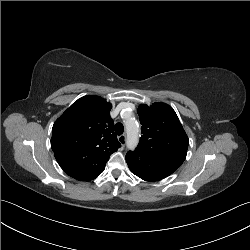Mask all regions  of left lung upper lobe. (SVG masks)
Returning a JSON list of instances; mask_svg holds the SVG:
<instances>
[{
	"mask_svg": "<svg viewBox=\"0 0 250 250\" xmlns=\"http://www.w3.org/2000/svg\"><path fill=\"white\" fill-rule=\"evenodd\" d=\"M142 136L135 151L126 155L127 164L137 157L149 158L153 164L171 173L184 162L189 139L175 113L165 103L141 104L137 110Z\"/></svg>",
	"mask_w": 250,
	"mask_h": 250,
	"instance_id": "1",
	"label": "left lung upper lobe"
}]
</instances>
